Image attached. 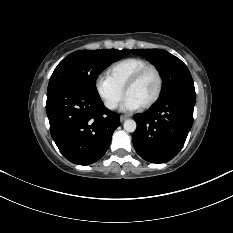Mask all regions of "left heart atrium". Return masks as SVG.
<instances>
[{
	"label": "left heart atrium",
	"instance_id": "left-heart-atrium-1",
	"mask_svg": "<svg viewBox=\"0 0 233 233\" xmlns=\"http://www.w3.org/2000/svg\"><path fill=\"white\" fill-rule=\"evenodd\" d=\"M140 107H141L140 104L137 103L134 99L126 96L121 105V110L126 111V112H132V111L139 109Z\"/></svg>",
	"mask_w": 233,
	"mask_h": 233
}]
</instances>
